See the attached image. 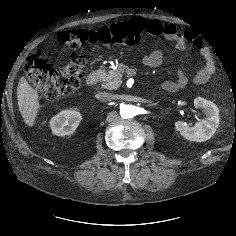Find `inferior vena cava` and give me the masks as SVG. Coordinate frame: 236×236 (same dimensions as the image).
I'll return each mask as SVG.
<instances>
[{
  "instance_id": "inferior-vena-cava-1",
  "label": "inferior vena cava",
  "mask_w": 236,
  "mask_h": 236,
  "mask_svg": "<svg viewBox=\"0 0 236 236\" xmlns=\"http://www.w3.org/2000/svg\"><path fill=\"white\" fill-rule=\"evenodd\" d=\"M96 98L102 102H108L113 100L114 96L108 92H99L96 94Z\"/></svg>"
}]
</instances>
